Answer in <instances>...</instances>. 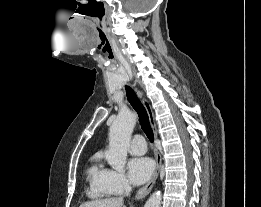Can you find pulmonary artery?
Segmentation results:
<instances>
[{
    "label": "pulmonary artery",
    "mask_w": 261,
    "mask_h": 207,
    "mask_svg": "<svg viewBox=\"0 0 261 207\" xmlns=\"http://www.w3.org/2000/svg\"><path fill=\"white\" fill-rule=\"evenodd\" d=\"M129 151L133 155H142L146 152V142L143 136H134V138L131 141Z\"/></svg>",
    "instance_id": "pulmonary-artery-1"
}]
</instances>
